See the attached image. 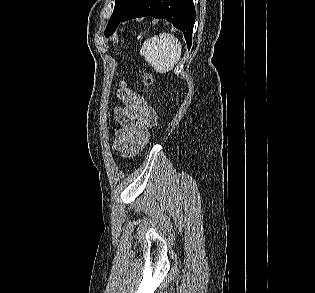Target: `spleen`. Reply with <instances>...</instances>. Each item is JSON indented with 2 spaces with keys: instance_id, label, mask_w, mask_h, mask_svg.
<instances>
[{
  "instance_id": "1",
  "label": "spleen",
  "mask_w": 315,
  "mask_h": 293,
  "mask_svg": "<svg viewBox=\"0 0 315 293\" xmlns=\"http://www.w3.org/2000/svg\"><path fill=\"white\" fill-rule=\"evenodd\" d=\"M181 51V43L174 35L161 33L143 43L140 55L158 73H166L171 71L178 63Z\"/></svg>"
}]
</instances>
